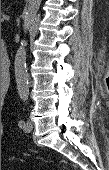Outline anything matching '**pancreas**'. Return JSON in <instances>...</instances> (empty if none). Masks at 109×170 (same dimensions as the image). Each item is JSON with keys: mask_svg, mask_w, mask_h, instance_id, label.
Returning <instances> with one entry per match:
<instances>
[{"mask_svg": "<svg viewBox=\"0 0 109 170\" xmlns=\"http://www.w3.org/2000/svg\"><path fill=\"white\" fill-rule=\"evenodd\" d=\"M4 16V13L1 11V18Z\"/></svg>", "mask_w": 109, "mask_h": 170, "instance_id": "cf45deb5", "label": "pancreas"}]
</instances>
